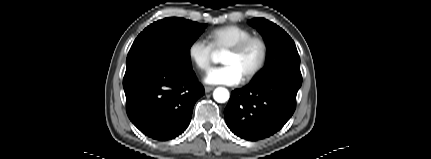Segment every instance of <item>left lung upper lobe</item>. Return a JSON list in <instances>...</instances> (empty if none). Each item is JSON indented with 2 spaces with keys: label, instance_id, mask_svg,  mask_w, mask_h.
I'll list each match as a JSON object with an SVG mask.
<instances>
[{
  "label": "left lung upper lobe",
  "instance_id": "left-lung-upper-lobe-1",
  "mask_svg": "<svg viewBox=\"0 0 431 159\" xmlns=\"http://www.w3.org/2000/svg\"><path fill=\"white\" fill-rule=\"evenodd\" d=\"M248 23L260 32L268 49L266 65L252 83L282 73L301 76L300 57L291 37L282 28L264 18H254Z\"/></svg>",
  "mask_w": 431,
  "mask_h": 159
}]
</instances>
